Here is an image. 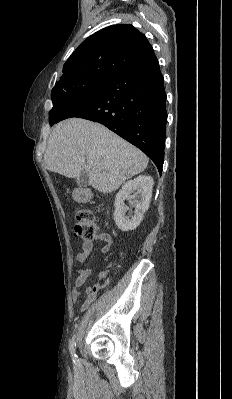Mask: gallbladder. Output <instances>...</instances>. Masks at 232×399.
<instances>
[{
  "label": "gallbladder",
  "instance_id": "obj_1",
  "mask_svg": "<svg viewBox=\"0 0 232 399\" xmlns=\"http://www.w3.org/2000/svg\"><path fill=\"white\" fill-rule=\"evenodd\" d=\"M76 184H78V186H88L89 184L88 174H86V172H82L81 176L77 178Z\"/></svg>",
  "mask_w": 232,
  "mask_h": 399
}]
</instances>
